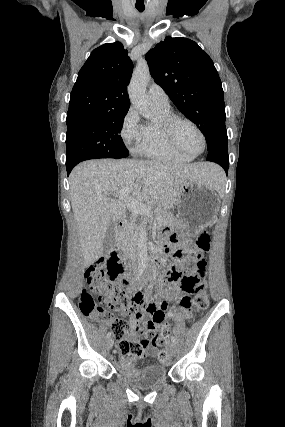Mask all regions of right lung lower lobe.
<instances>
[{
    "label": "right lung lower lobe",
    "instance_id": "1",
    "mask_svg": "<svg viewBox=\"0 0 285 427\" xmlns=\"http://www.w3.org/2000/svg\"><path fill=\"white\" fill-rule=\"evenodd\" d=\"M67 168V167H66ZM71 170H72V168L71 167H69V168H67V174L69 175V173L71 172Z\"/></svg>",
    "mask_w": 285,
    "mask_h": 427
}]
</instances>
